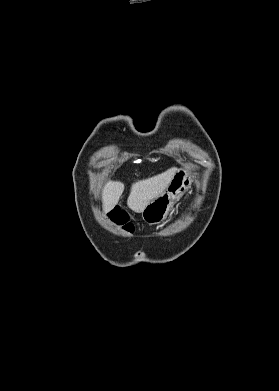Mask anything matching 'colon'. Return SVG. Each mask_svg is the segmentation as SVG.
I'll return each mask as SVG.
<instances>
[{
	"mask_svg": "<svg viewBox=\"0 0 279 391\" xmlns=\"http://www.w3.org/2000/svg\"><path fill=\"white\" fill-rule=\"evenodd\" d=\"M110 217L115 224L122 226L128 231L132 230V225L129 223L128 216L125 212L116 210L110 213Z\"/></svg>",
	"mask_w": 279,
	"mask_h": 391,
	"instance_id": "5ec220e1",
	"label": "colon"
}]
</instances>
